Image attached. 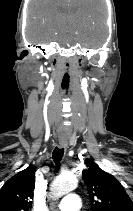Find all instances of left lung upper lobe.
Instances as JSON below:
<instances>
[{"label":"left lung upper lobe","mask_w":133,"mask_h":211,"mask_svg":"<svg viewBox=\"0 0 133 211\" xmlns=\"http://www.w3.org/2000/svg\"><path fill=\"white\" fill-rule=\"evenodd\" d=\"M82 178L87 185L92 211H133V202L120 182L111 174L103 171L90 159Z\"/></svg>","instance_id":"1"}]
</instances>
